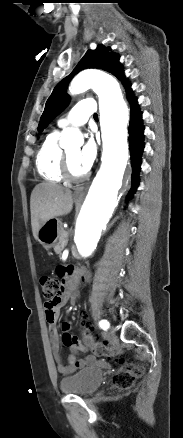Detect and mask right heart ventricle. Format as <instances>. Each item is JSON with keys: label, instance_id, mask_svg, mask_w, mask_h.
Segmentation results:
<instances>
[{"label": "right heart ventricle", "instance_id": "right-heart-ventricle-1", "mask_svg": "<svg viewBox=\"0 0 183 438\" xmlns=\"http://www.w3.org/2000/svg\"><path fill=\"white\" fill-rule=\"evenodd\" d=\"M59 133L49 134L41 144L36 157L38 173L45 180L60 183L64 179L61 175V159L63 150L58 143Z\"/></svg>", "mask_w": 183, "mask_h": 438}]
</instances>
